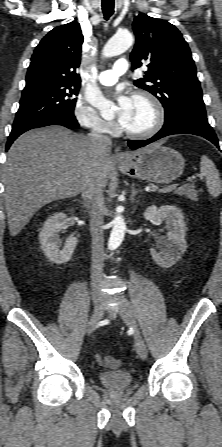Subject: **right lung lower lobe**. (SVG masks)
Wrapping results in <instances>:
<instances>
[{
	"instance_id": "obj_1",
	"label": "right lung lower lobe",
	"mask_w": 222,
	"mask_h": 447,
	"mask_svg": "<svg viewBox=\"0 0 222 447\" xmlns=\"http://www.w3.org/2000/svg\"><path fill=\"white\" fill-rule=\"evenodd\" d=\"M49 125H62L69 129H76L79 124L74 116V114H57L53 116L46 117L42 120L27 123L18 127H13L10 136L8 137L6 151L9 149L13 141L22 133L33 129Z\"/></svg>"
}]
</instances>
